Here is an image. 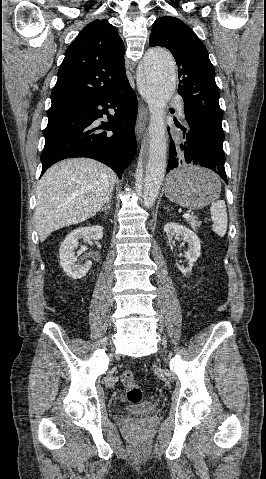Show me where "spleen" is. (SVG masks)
Instances as JSON below:
<instances>
[{"mask_svg":"<svg viewBox=\"0 0 266 479\" xmlns=\"http://www.w3.org/2000/svg\"><path fill=\"white\" fill-rule=\"evenodd\" d=\"M212 230L219 236L224 237L227 231V212L225 201L218 200L210 207Z\"/></svg>","mask_w":266,"mask_h":479,"instance_id":"spleen-1","label":"spleen"}]
</instances>
